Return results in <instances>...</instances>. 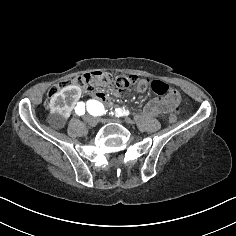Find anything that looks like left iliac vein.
I'll use <instances>...</instances> for the list:
<instances>
[{
  "mask_svg": "<svg viewBox=\"0 0 236 236\" xmlns=\"http://www.w3.org/2000/svg\"><path fill=\"white\" fill-rule=\"evenodd\" d=\"M98 122L102 123V124H105L106 122H118V119H103V118H99Z\"/></svg>",
  "mask_w": 236,
  "mask_h": 236,
  "instance_id": "obj_1",
  "label": "left iliac vein"
}]
</instances>
